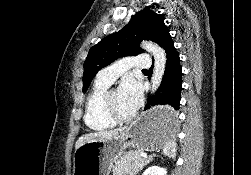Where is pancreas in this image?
<instances>
[{"instance_id": "pancreas-1", "label": "pancreas", "mask_w": 251, "mask_h": 175, "mask_svg": "<svg viewBox=\"0 0 251 175\" xmlns=\"http://www.w3.org/2000/svg\"><path fill=\"white\" fill-rule=\"evenodd\" d=\"M141 151L137 149H131V151H125V155H122L120 159H116L115 165H112L113 175H136L143 165H146L148 157H142Z\"/></svg>"}]
</instances>
